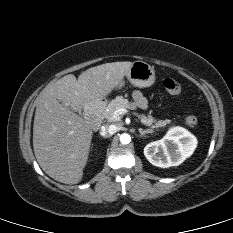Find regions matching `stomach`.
Segmentation results:
<instances>
[{
	"label": "stomach",
	"mask_w": 233,
	"mask_h": 233,
	"mask_svg": "<svg viewBox=\"0 0 233 233\" xmlns=\"http://www.w3.org/2000/svg\"><path fill=\"white\" fill-rule=\"evenodd\" d=\"M128 81L136 87H150L155 82L154 68L146 62L135 61L129 72L126 74ZM124 82L121 81L118 87H122Z\"/></svg>",
	"instance_id": "obj_1"
}]
</instances>
